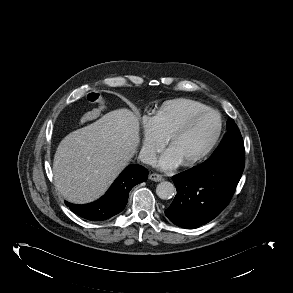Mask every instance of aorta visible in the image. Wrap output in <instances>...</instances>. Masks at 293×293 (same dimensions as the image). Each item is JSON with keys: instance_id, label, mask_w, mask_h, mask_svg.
I'll return each mask as SVG.
<instances>
[{"instance_id": "762f6f07", "label": "aorta", "mask_w": 293, "mask_h": 293, "mask_svg": "<svg viewBox=\"0 0 293 293\" xmlns=\"http://www.w3.org/2000/svg\"><path fill=\"white\" fill-rule=\"evenodd\" d=\"M176 193L175 186L168 181L159 183L156 187V194L159 198L167 200L172 198Z\"/></svg>"}]
</instances>
